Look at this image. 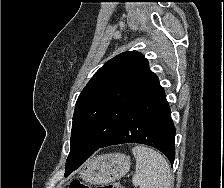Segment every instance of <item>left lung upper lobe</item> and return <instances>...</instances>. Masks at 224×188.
<instances>
[{
	"label": "left lung upper lobe",
	"mask_w": 224,
	"mask_h": 188,
	"mask_svg": "<svg viewBox=\"0 0 224 188\" xmlns=\"http://www.w3.org/2000/svg\"><path fill=\"white\" fill-rule=\"evenodd\" d=\"M158 82L141 53L127 51L106 62L77 99L66 169L93 154L131 104Z\"/></svg>",
	"instance_id": "obj_1"
}]
</instances>
